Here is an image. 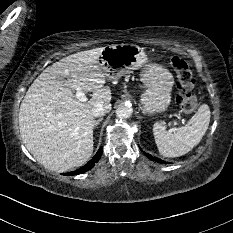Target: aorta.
<instances>
[{"mask_svg": "<svg viewBox=\"0 0 233 233\" xmlns=\"http://www.w3.org/2000/svg\"><path fill=\"white\" fill-rule=\"evenodd\" d=\"M132 107L127 104H121L116 109V115L120 119H126L129 118L132 115Z\"/></svg>", "mask_w": 233, "mask_h": 233, "instance_id": "obj_1", "label": "aorta"}]
</instances>
